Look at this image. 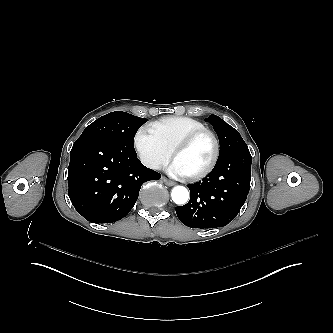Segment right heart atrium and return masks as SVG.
Instances as JSON below:
<instances>
[{"label": "right heart atrium", "instance_id": "d8ad5b80", "mask_svg": "<svg viewBox=\"0 0 333 333\" xmlns=\"http://www.w3.org/2000/svg\"><path fill=\"white\" fill-rule=\"evenodd\" d=\"M136 151L143 163L152 170L161 169L170 156V149L155 138L149 137L142 128L135 138Z\"/></svg>", "mask_w": 333, "mask_h": 333}]
</instances>
